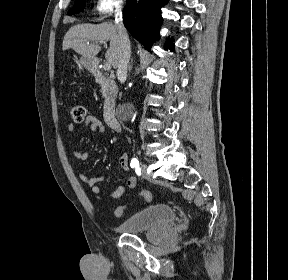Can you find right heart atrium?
I'll use <instances>...</instances> for the list:
<instances>
[{
    "label": "right heart atrium",
    "mask_w": 288,
    "mask_h": 280,
    "mask_svg": "<svg viewBox=\"0 0 288 280\" xmlns=\"http://www.w3.org/2000/svg\"><path fill=\"white\" fill-rule=\"evenodd\" d=\"M123 0H95L93 12L98 19H104L122 7Z\"/></svg>",
    "instance_id": "1"
}]
</instances>
